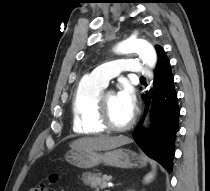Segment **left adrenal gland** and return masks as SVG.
I'll list each match as a JSON object with an SVG mask.
<instances>
[{
    "instance_id": "1",
    "label": "left adrenal gland",
    "mask_w": 210,
    "mask_h": 191,
    "mask_svg": "<svg viewBox=\"0 0 210 191\" xmlns=\"http://www.w3.org/2000/svg\"><path fill=\"white\" fill-rule=\"evenodd\" d=\"M127 191H134V190H132V189H128Z\"/></svg>"
}]
</instances>
